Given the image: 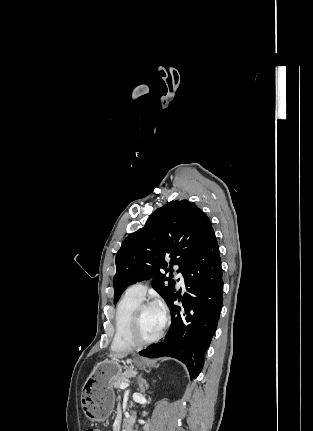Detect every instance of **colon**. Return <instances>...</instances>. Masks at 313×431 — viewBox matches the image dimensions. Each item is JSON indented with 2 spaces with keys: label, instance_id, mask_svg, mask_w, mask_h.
<instances>
[{
  "label": "colon",
  "instance_id": "5ec220e1",
  "mask_svg": "<svg viewBox=\"0 0 313 431\" xmlns=\"http://www.w3.org/2000/svg\"><path fill=\"white\" fill-rule=\"evenodd\" d=\"M87 431H99L98 429L92 428V429H88Z\"/></svg>",
  "mask_w": 313,
  "mask_h": 431
}]
</instances>
